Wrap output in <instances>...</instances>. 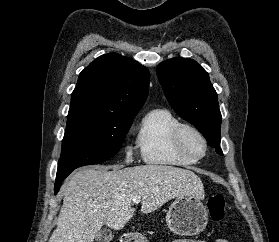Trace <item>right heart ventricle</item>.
<instances>
[{"label": "right heart ventricle", "instance_id": "right-heart-ventricle-1", "mask_svg": "<svg viewBox=\"0 0 279 242\" xmlns=\"http://www.w3.org/2000/svg\"><path fill=\"white\" fill-rule=\"evenodd\" d=\"M179 124V120L166 109H152L144 115L136 144L145 163L169 167H187L195 163L175 148L173 132Z\"/></svg>", "mask_w": 279, "mask_h": 242}]
</instances>
